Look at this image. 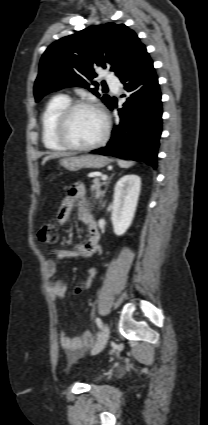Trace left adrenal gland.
<instances>
[{"instance_id":"left-adrenal-gland-1","label":"left adrenal gland","mask_w":208,"mask_h":425,"mask_svg":"<svg viewBox=\"0 0 208 425\" xmlns=\"http://www.w3.org/2000/svg\"><path fill=\"white\" fill-rule=\"evenodd\" d=\"M113 175H114V174H112V175H111L110 179L108 180V182H107V184H106V188H105V190L103 191L102 198H103V196H104V194H105V192H106V190H107L108 184H109V182H110L111 178L113 177ZM102 198H101L100 204L102 203ZM102 206H104V205H102Z\"/></svg>"}]
</instances>
